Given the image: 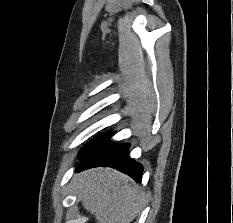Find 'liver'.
Returning a JSON list of instances; mask_svg holds the SVG:
<instances>
[{
    "mask_svg": "<svg viewBox=\"0 0 233 223\" xmlns=\"http://www.w3.org/2000/svg\"><path fill=\"white\" fill-rule=\"evenodd\" d=\"M128 181V175L113 167H92L73 175V189L96 223H130L145 195Z\"/></svg>",
    "mask_w": 233,
    "mask_h": 223,
    "instance_id": "1",
    "label": "liver"
}]
</instances>
